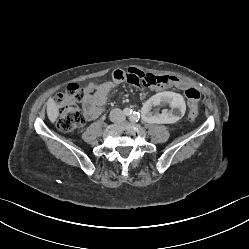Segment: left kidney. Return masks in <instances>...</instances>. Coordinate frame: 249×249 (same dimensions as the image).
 <instances>
[{
  "mask_svg": "<svg viewBox=\"0 0 249 249\" xmlns=\"http://www.w3.org/2000/svg\"><path fill=\"white\" fill-rule=\"evenodd\" d=\"M185 110L184 97L175 92L166 91L158 93L147 102L142 117L148 125H166L178 121Z\"/></svg>",
  "mask_w": 249,
  "mask_h": 249,
  "instance_id": "1",
  "label": "left kidney"
}]
</instances>
